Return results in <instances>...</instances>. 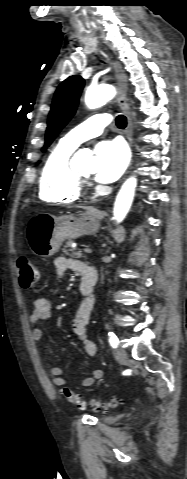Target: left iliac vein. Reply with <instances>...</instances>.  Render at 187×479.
Instances as JSON below:
<instances>
[{"label": "left iliac vein", "instance_id": "1", "mask_svg": "<svg viewBox=\"0 0 187 479\" xmlns=\"http://www.w3.org/2000/svg\"><path fill=\"white\" fill-rule=\"evenodd\" d=\"M113 354H114V357L119 361V362H122V363H125L128 359V355H127V352L124 348H117V349H114L113 350Z\"/></svg>", "mask_w": 187, "mask_h": 479}]
</instances>
